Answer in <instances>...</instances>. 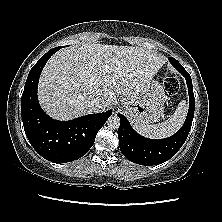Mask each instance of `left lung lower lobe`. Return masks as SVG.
Here are the masks:
<instances>
[{
    "instance_id": "left-lung-lower-lobe-1",
    "label": "left lung lower lobe",
    "mask_w": 222,
    "mask_h": 222,
    "mask_svg": "<svg viewBox=\"0 0 222 222\" xmlns=\"http://www.w3.org/2000/svg\"><path fill=\"white\" fill-rule=\"evenodd\" d=\"M170 63L185 77L189 93V110L184 125L171 137L153 140L147 139L136 133L129 121L122 114L118 129L119 146L122 154L130 161L140 165H157L173 157L184 144L193 121L195 99L192 80L189 73L173 57H169Z\"/></svg>"
}]
</instances>
